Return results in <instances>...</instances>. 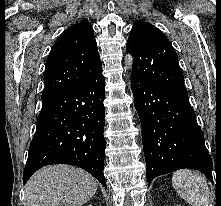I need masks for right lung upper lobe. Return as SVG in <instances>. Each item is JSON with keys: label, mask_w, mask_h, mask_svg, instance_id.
<instances>
[{"label": "right lung upper lobe", "mask_w": 221, "mask_h": 206, "mask_svg": "<svg viewBox=\"0 0 221 206\" xmlns=\"http://www.w3.org/2000/svg\"><path fill=\"white\" fill-rule=\"evenodd\" d=\"M102 70L94 30L87 21L66 29L46 61L42 99L79 85Z\"/></svg>", "instance_id": "1"}]
</instances>
